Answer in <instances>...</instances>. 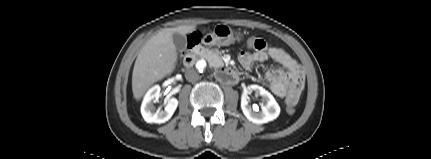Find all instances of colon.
I'll return each mask as SVG.
<instances>
[{
    "label": "colon",
    "instance_id": "obj_1",
    "mask_svg": "<svg viewBox=\"0 0 431 159\" xmlns=\"http://www.w3.org/2000/svg\"><path fill=\"white\" fill-rule=\"evenodd\" d=\"M197 40H198V37H197V36H192V37H190V43H192V42H196ZM253 45H254V38L247 39V40H246V43L244 44V49H245V50H251ZM286 110H287V112H288V113H290V114H291V113H293V112L295 111V108H290V107L288 106V102H287Z\"/></svg>",
    "mask_w": 431,
    "mask_h": 159
}]
</instances>
